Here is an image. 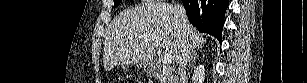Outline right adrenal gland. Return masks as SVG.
<instances>
[{
	"instance_id": "obj_1",
	"label": "right adrenal gland",
	"mask_w": 307,
	"mask_h": 83,
	"mask_svg": "<svg viewBox=\"0 0 307 83\" xmlns=\"http://www.w3.org/2000/svg\"><path fill=\"white\" fill-rule=\"evenodd\" d=\"M201 48L198 47V50H200ZM198 57L197 54V49L192 47L190 49V53H189V57H188V66L190 67L192 60H195Z\"/></svg>"
}]
</instances>
